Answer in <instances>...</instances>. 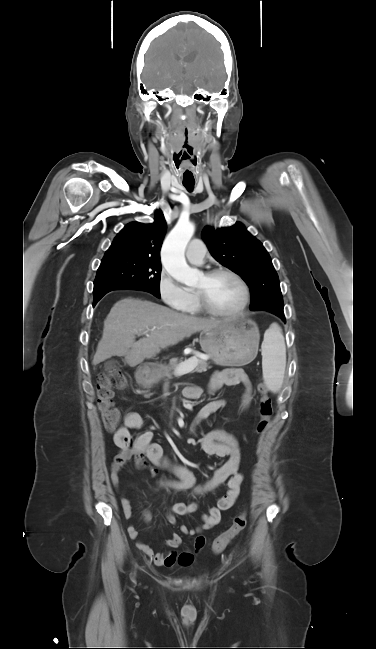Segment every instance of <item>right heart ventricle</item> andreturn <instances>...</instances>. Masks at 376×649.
<instances>
[{
    "label": "right heart ventricle",
    "instance_id": "right-heart-ventricle-1",
    "mask_svg": "<svg viewBox=\"0 0 376 649\" xmlns=\"http://www.w3.org/2000/svg\"><path fill=\"white\" fill-rule=\"evenodd\" d=\"M187 291H188V298L186 303L181 308V310L187 314L202 313L203 310L198 303L194 290H187Z\"/></svg>",
    "mask_w": 376,
    "mask_h": 649
}]
</instances>
